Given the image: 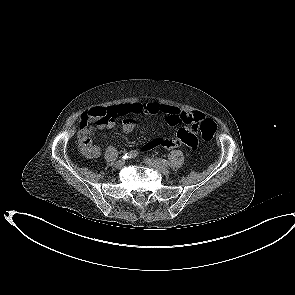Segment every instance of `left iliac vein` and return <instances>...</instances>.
<instances>
[{
    "label": "left iliac vein",
    "mask_w": 295,
    "mask_h": 295,
    "mask_svg": "<svg viewBox=\"0 0 295 295\" xmlns=\"http://www.w3.org/2000/svg\"><path fill=\"white\" fill-rule=\"evenodd\" d=\"M144 161L148 166H150L152 168H155L159 172H161V173H163L165 175L169 174V169L166 166H164V165L160 164L159 162L155 161L154 159L147 157V158L144 159Z\"/></svg>",
    "instance_id": "left-iliac-vein-1"
}]
</instances>
